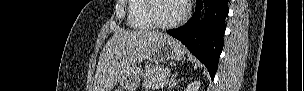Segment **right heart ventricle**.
Returning a JSON list of instances; mask_svg holds the SVG:
<instances>
[{
	"mask_svg": "<svg viewBox=\"0 0 304 91\" xmlns=\"http://www.w3.org/2000/svg\"><path fill=\"white\" fill-rule=\"evenodd\" d=\"M147 0L128 1V25L136 30H150L154 26L147 18L145 8Z\"/></svg>",
	"mask_w": 304,
	"mask_h": 91,
	"instance_id": "obj_1",
	"label": "right heart ventricle"
}]
</instances>
